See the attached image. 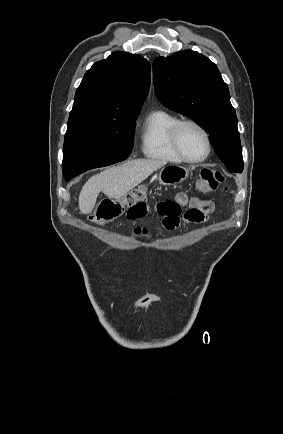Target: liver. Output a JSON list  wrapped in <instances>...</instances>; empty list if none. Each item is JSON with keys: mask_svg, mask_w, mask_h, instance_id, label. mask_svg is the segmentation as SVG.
I'll return each mask as SVG.
<instances>
[{"mask_svg": "<svg viewBox=\"0 0 283 434\" xmlns=\"http://www.w3.org/2000/svg\"><path fill=\"white\" fill-rule=\"evenodd\" d=\"M165 164V161L152 159L132 160L92 176L79 194L81 213L92 212L100 192L118 200Z\"/></svg>", "mask_w": 283, "mask_h": 434, "instance_id": "1", "label": "liver"}]
</instances>
